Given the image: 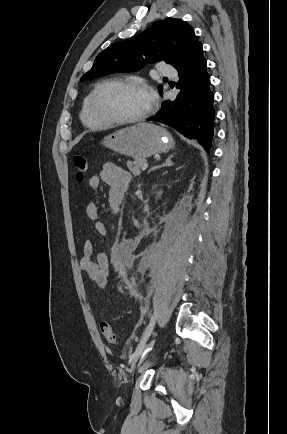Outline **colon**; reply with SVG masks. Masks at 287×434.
<instances>
[{
  "label": "colon",
  "instance_id": "5ec220e1",
  "mask_svg": "<svg viewBox=\"0 0 287 434\" xmlns=\"http://www.w3.org/2000/svg\"><path fill=\"white\" fill-rule=\"evenodd\" d=\"M73 165L76 179L82 181L85 178L88 169L86 158L81 155L75 156L73 159ZM100 331L109 344H118V337L109 322L102 321L100 323Z\"/></svg>",
  "mask_w": 287,
  "mask_h": 434
}]
</instances>
